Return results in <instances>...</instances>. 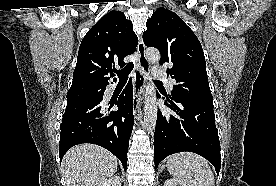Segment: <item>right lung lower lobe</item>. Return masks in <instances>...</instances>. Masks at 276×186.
Here are the masks:
<instances>
[{
  "instance_id": "98d812e1",
  "label": "right lung lower lobe",
  "mask_w": 276,
  "mask_h": 186,
  "mask_svg": "<svg viewBox=\"0 0 276 186\" xmlns=\"http://www.w3.org/2000/svg\"><path fill=\"white\" fill-rule=\"evenodd\" d=\"M133 88L131 79L122 94L110 101L103 113L102 100L66 106L60 126V161L74 145L92 143L114 154L126 170L129 139L133 128ZM118 111H111L113 105Z\"/></svg>"
}]
</instances>
